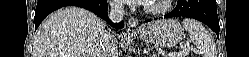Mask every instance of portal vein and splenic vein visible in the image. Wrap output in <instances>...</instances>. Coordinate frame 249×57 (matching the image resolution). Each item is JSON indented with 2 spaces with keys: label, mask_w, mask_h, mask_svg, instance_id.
I'll use <instances>...</instances> for the list:
<instances>
[{
  "label": "portal vein and splenic vein",
  "mask_w": 249,
  "mask_h": 57,
  "mask_svg": "<svg viewBox=\"0 0 249 57\" xmlns=\"http://www.w3.org/2000/svg\"><path fill=\"white\" fill-rule=\"evenodd\" d=\"M183 50L179 53H171L169 54V57H183L186 56L189 53V49L186 47V45H184Z\"/></svg>",
  "instance_id": "18ae733b"
}]
</instances>
